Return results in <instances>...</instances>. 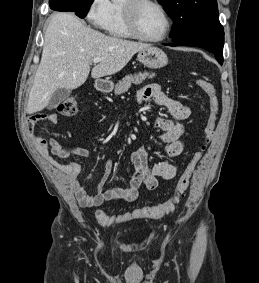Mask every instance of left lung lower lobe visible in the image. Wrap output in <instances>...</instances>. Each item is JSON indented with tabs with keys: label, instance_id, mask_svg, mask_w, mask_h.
<instances>
[{
	"label": "left lung lower lobe",
	"instance_id": "0a47b994",
	"mask_svg": "<svg viewBox=\"0 0 259 283\" xmlns=\"http://www.w3.org/2000/svg\"><path fill=\"white\" fill-rule=\"evenodd\" d=\"M196 46L204 48L212 53H214L217 61L222 64L223 62V46H224V30L221 25L207 31L205 33L198 34L196 36L183 39L180 41H175L169 46Z\"/></svg>",
	"mask_w": 259,
	"mask_h": 283
}]
</instances>
